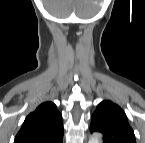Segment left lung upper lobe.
<instances>
[{"mask_svg":"<svg viewBox=\"0 0 145 143\" xmlns=\"http://www.w3.org/2000/svg\"><path fill=\"white\" fill-rule=\"evenodd\" d=\"M91 132L103 134V143H136L126 114L116 104L105 100L98 104L92 115Z\"/></svg>","mask_w":145,"mask_h":143,"instance_id":"left-lung-upper-lobe-1","label":"left lung upper lobe"}]
</instances>
